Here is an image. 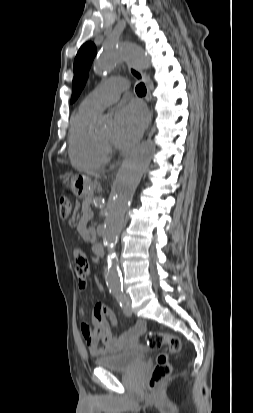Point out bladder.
<instances>
[{"label": "bladder", "mask_w": 253, "mask_h": 413, "mask_svg": "<svg viewBox=\"0 0 253 413\" xmlns=\"http://www.w3.org/2000/svg\"><path fill=\"white\" fill-rule=\"evenodd\" d=\"M144 359V350L141 348H134L99 357L95 360V363L97 366L111 370L129 371L143 363Z\"/></svg>", "instance_id": "obj_1"}]
</instances>
